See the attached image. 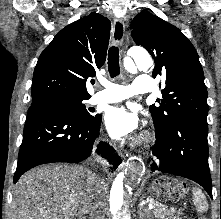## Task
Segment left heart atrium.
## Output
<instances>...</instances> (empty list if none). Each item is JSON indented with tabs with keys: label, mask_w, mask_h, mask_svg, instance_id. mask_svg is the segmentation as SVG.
Wrapping results in <instances>:
<instances>
[{
	"label": "left heart atrium",
	"mask_w": 221,
	"mask_h": 219,
	"mask_svg": "<svg viewBox=\"0 0 221 219\" xmlns=\"http://www.w3.org/2000/svg\"><path fill=\"white\" fill-rule=\"evenodd\" d=\"M105 124L113 138H123L135 132L139 119L135 112L125 106H115L107 110Z\"/></svg>",
	"instance_id": "39dd6f15"
}]
</instances>
